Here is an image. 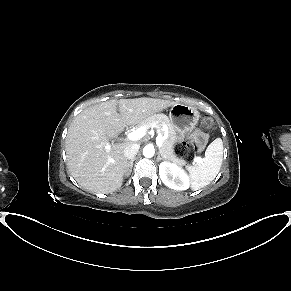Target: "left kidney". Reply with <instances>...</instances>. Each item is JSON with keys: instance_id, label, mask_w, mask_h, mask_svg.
Returning a JSON list of instances; mask_svg holds the SVG:
<instances>
[{"instance_id": "5707ae66", "label": "left kidney", "mask_w": 291, "mask_h": 291, "mask_svg": "<svg viewBox=\"0 0 291 291\" xmlns=\"http://www.w3.org/2000/svg\"><path fill=\"white\" fill-rule=\"evenodd\" d=\"M159 175L162 182L171 189L187 190L190 187L188 174L175 163H160Z\"/></svg>"}]
</instances>
